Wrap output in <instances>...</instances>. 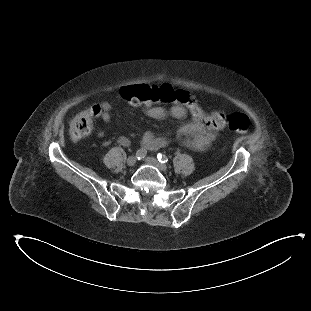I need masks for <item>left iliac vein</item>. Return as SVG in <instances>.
Listing matches in <instances>:
<instances>
[{"instance_id": "1", "label": "left iliac vein", "mask_w": 311, "mask_h": 311, "mask_svg": "<svg viewBox=\"0 0 311 311\" xmlns=\"http://www.w3.org/2000/svg\"><path fill=\"white\" fill-rule=\"evenodd\" d=\"M146 163H148L149 165H152L154 167H156L157 169H159L162 172H166L168 170L167 166L165 164L160 163L156 158L154 157H147L145 159Z\"/></svg>"}]
</instances>
